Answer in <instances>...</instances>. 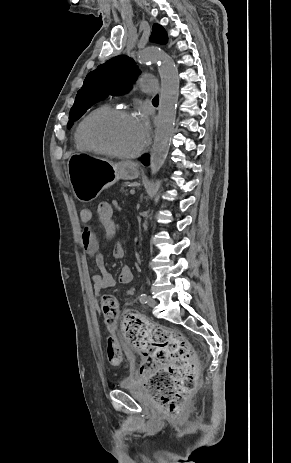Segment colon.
Wrapping results in <instances>:
<instances>
[{
    "label": "colon",
    "mask_w": 291,
    "mask_h": 463,
    "mask_svg": "<svg viewBox=\"0 0 291 463\" xmlns=\"http://www.w3.org/2000/svg\"><path fill=\"white\" fill-rule=\"evenodd\" d=\"M94 214L99 226H113L112 203L97 201ZM106 323L113 328L119 308L114 297L105 295L100 301ZM127 340L143 355L141 375L147 380L150 395L168 415L180 416L181 407L196 384V365L192 349L182 334L174 329L148 322L133 314L122 319ZM107 357L116 366L122 361V351L115 337H109Z\"/></svg>",
    "instance_id": "5ec220e1"
}]
</instances>
